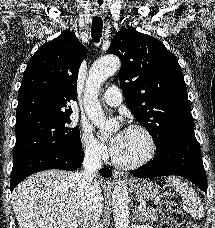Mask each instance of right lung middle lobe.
Returning a JSON list of instances; mask_svg holds the SVG:
<instances>
[{
  "instance_id": "dd1d6c3e",
  "label": "right lung middle lobe",
  "mask_w": 215,
  "mask_h": 228,
  "mask_svg": "<svg viewBox=\"0 0 215 228\" xmlns=\"http://www.w3.org/2000/svg\"><path fill=\"white\" fill-rule=\"evenodd\" d=\"M69 115L41 116L16 123L13 157L40 146L82 149L79 128L70 125Z\"/></svg>"
}]
</instances>
